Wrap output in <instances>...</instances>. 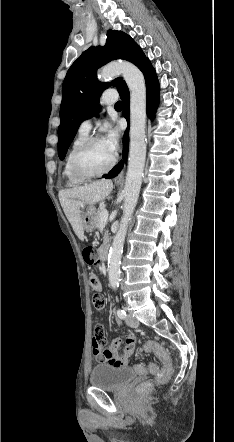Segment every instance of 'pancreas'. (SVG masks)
Wrapping results in <instances>:
<instances>
[{
    "label": "pancreas",
    "mask_w": 234,
    "mask_h": 442,
    "mask_svg": "<svg viewBox=\"0 0 234 442\" xmlns=\"http://www.w3.org/2000/svg\"><path fill=\"white\" fill-rule=\"evenodd\" d=\"M104 210H105L104 207H100V208H98V210H97L96 213H95V227H96L98 230H101V229H100V225H101V223H100V214H101V212L104 211ZM108 241H109V233H108L107 230H104L103 243L106 244Z\"/></svg>",
    "instance_id": "cf45deb5"
}]
</instances>
